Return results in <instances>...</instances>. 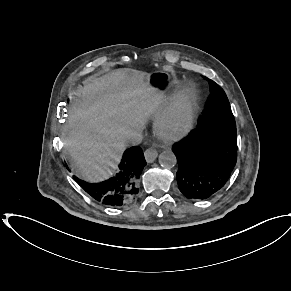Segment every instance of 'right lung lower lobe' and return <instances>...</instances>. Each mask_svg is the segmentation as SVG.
Listing matches in <instances>:
<instances>
[{
    "label": "right lung lower lobe",
    "mask_w": 291,
    "mask_h": 291,
    "mask_svg": "<svg viewBox=\"0 0 291 291\" xmlns=\"http://www.w3.org/2000/svg\"><path fill=\"white\" fill-rule=\"evenodd\" d=\"M146 165L142 149H127L117 168L116 175L100 183H87L74 177L75 181L97 202L109 207L131 203L139 192V178Z\"/></svg>",
    "instance_id": "right-lung-lower-lobe-1"
}]
</instances>
